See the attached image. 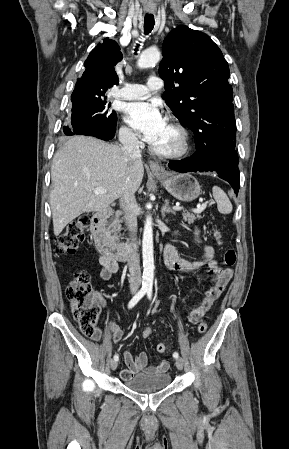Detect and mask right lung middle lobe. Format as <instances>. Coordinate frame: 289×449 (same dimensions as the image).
<instances>
[{"mask_svg": "<svg viewBox=\"0 0 289 449\" xmlns=\"http://www.w3.org/2000/svg\"><path fill=\"white\" fill-rule=\"evenodd\" d=\"M106 91L73 93L71 126L70 128H64L66 135H71L70 130L76 128V125L82 122H90L103 128L116 125L117 115L115 111L110 109L111 103L107 101Z\"/></svg>", "mask_w": 289, "mask_h": 449, "instance_id": "right-lung-middle-lobe-1", "label": "right lung middle lobe"}]
</instances>
